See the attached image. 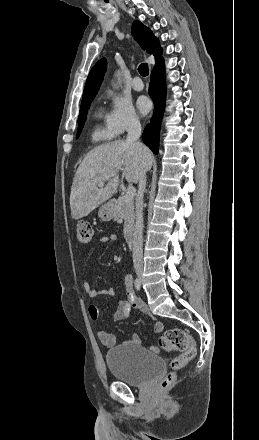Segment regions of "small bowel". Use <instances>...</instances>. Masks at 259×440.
Segmentation results:
<instances>
[{"label":"small bowel","mask_w":259,"mask_h":440,"mask_svg":"<svg viewBox=\"0 0 259 440\" xmlns=\"http://www.w3.org/2000/svg\"><path fill=\"white\" fill-rule=\"evenodd\" d=\"M117 240V235L112 234L109 237H102L100 239L101 243H106L108 241H116ZM125 291H126V295L128 300L127 301H119L117 303V307L116 310L114 312V319L116 321L125 319L131 309H137L140 310L141 312H143L145 315H147L148 317H150L153 320V330L155 332H161L164 328L163 323L154 319V317L152 316L151 312L149 311V309L147 308V306L135 295L134 289H133V281H132V277L130 275H126L125 276ZM82 286L83 289L85 291V293L90 297V298H95L98 296H113L114 295V290L111 288L108 289H102V290H97L91 287V285L89 284V282L87 280H83L82 281ZM88 312H89V316L91 317V319L93 320H97L99 317V307L96 304H91L88 308ZM97 336L100 340V342L105 346V347H113L115 344V338L113 336V334L107 332V331H99L97 333ZM127 344H131V345H139L141 343V339L139 337L138 334H133L130 338L129 341L126 342ZM151 350L154 352L158 351L157 347H151Z\"/></svg>","instance_id":"small-bowel-1"}]
</instances>
